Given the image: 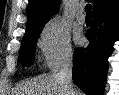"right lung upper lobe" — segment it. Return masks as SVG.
I'll list each match as a JSON object with an SVG mask.
<instances>
[{
	"mask_svg": "<svg viewBox=\"0 0 119 95\" xmlns=\"http://www.w3.org/2000/svg\"><path fill=\"white\" fill-rule=\"evenodd\" d=\"M93 4V16L117 4L119 0H90ZM60 0H30L27 7L26 32L44 26L57 12Z\"/></svg>",
	"mask_w": 119,
	"mask_h": 95,
	"instance_id": "cb5924a9",
	"label": "right lung upper lobe"
}]
</instances>
